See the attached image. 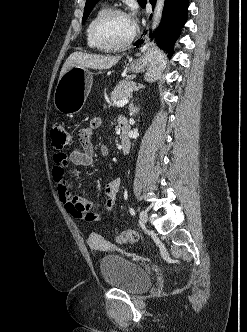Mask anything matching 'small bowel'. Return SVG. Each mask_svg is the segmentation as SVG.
<instances>
[{
    "label": "small bowel",
    "mask_w": 247,
    "mask_h": 332,
    "mask_svg": "<svg viewBox=\"0 0 247 332\" xmlns=\"http://www.w3.org/2000/svg\"><path fill=\"white\" fill-rule=\"evenodd\" d=\"M100 125V118H91L88 121L87 126L79 130L77 135V146L71 150L68 155L65 153H56L53 157L54 165L52 169V176L61 201L64 203L69 214L77 219L88 222L95 221L112 208L120 190L121 180L116 178L106 185V202L104 209L102 211H96L90 198L77 196L71 192L70 183L65 177V170L69 163L84 167H93L95 165V156L91 143V136L93 131L99 128ZM101 153L103 155H107V147L102 146Z\"/></svg>",
    "instance_id": "obj_1"
}]
</instances>
